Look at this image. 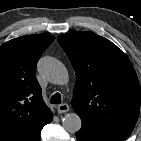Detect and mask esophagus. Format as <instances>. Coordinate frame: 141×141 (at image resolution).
<instances>
[{
	"mask_svg": "<svg viewBox=\"0 0 141 141\" xmlns=\"http://www.w3.org/2000/svg\"><path fill=\"white\" fill-rule=\"evenodd\" d=\"M69 105H67V104H61V105H58V107H57V110H58V113H66V112H68L69 111Z\"/></svg>",
	"mask_w": 141,
	"mask_h": 141,
	"instance_id": "1",
	"label": "esophagus"
}]
</instances>
